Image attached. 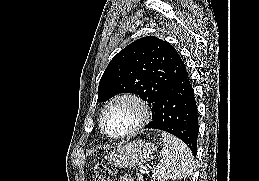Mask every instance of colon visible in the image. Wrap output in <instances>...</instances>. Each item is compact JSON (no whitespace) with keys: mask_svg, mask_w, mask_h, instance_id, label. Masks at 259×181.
<instances>
[{"mask_svg":"<svg viewBox=\"0 0 259 181\" xmlns=\"http://www.w3.org/2000/svg\"><path fill=\"white\" fill-rule=\"evenodd\" d=\"M92 181H130L125 174H116L106 165H98L92 171Z\"/></svg>","mask_w":259,"mask_h":181,"instance_id":"1","label":"colon"}]
</instances>
